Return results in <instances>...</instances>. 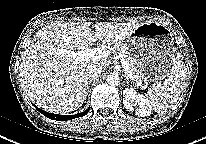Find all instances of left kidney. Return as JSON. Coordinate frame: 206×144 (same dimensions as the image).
I'll use <instances>...</instances> for the list:
<instances>
[{"instance_id":"obj_1","label":"left kidney","mask_w":206,"mask_h":144,"mask_svg":"<svg viewBox=\"0 0 206 144\" xmlns=\"http://www.w3.org/2000/svg\"><path fill=\"white\" fill-rule=\"evenodd\" d=\"M123 105L128 111L135 110V114L141 117L149 116L152 112V107L145 96L137 94L133 88L123 90Z\"/></svg>"}]
</instances>
